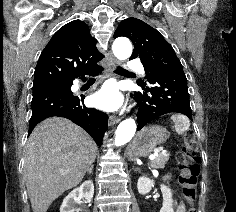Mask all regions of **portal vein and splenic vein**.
I'll use <instances>...</instances> for the list:
<instances>
[{
    "label": "portal vein and splenic vein",
    "mask_w": 236,
    "mask_h": 212,
    "mask_svg": "<svg viewBox=\"0 0 236 212\" xmlns=\"http://www.w3.org/2000/svg\"><path fill=\"white\" fill-rule=\"evenodd\" d=\"M164 153H165V150L163 148L155 149L154 153L152 155H150L149 159L153 160L158 155H161V154H164Z\"/></svg>",
    "instance_id": "obj_1"
}]
</instances>
